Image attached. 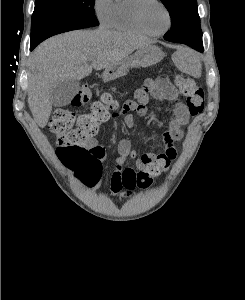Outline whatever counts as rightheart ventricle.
I'll list each match as a JSON object with an SVG mask.
<instances>
[{
  "label": "right heart ventricle",
  "mask_w": 245,
  "mask_h": 300,
  "mask_svg": "<svg viewBox=\"0 0 245 300\" xmlns=\"http://www.w3.org/2000/svg\"><path fill=\"white\" fill-rule=\"evenodd\" d=\"M135 0H115L109 26L115 30L145 34L135 23L133 18V6Z\"/></svg>",
  "instance_id": "1"
}]
</instances>
